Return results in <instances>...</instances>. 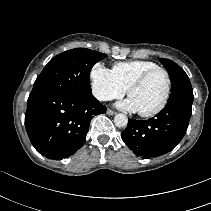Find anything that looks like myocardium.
<instances>
[{
  "label": "myocardium",
  "mask_w": 211,
  "mask_h": 211,
  "mask_svg": "<svg viewBox=\"0 0 211 211\" xmlns=\"http://www.w3.org/2000/svg\"><path fill=\"white\" fill-rule=\"evenodd\" d=\"M156 72H163L165 74L166 79H167L166 92H165L162 102L155 109H153L151 111H147V112L138 111V114L142 117H153V116L159 114L166 107V105L169 101V98H170L171 87H172V79H171L170 73L165 68H162V67L153 68V69L148 70L145 73H143L127 89V95H128V97H130L131 93L134 90L141 87L147 81V79Z\"/></svg>",
  "instance_id": "1"
}]
</instances>
